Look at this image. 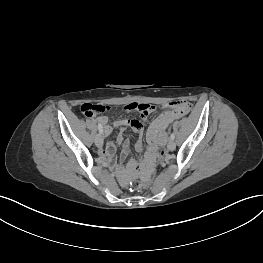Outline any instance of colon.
Returning <instances> with one entry per match:
<instances>
[{
	"instance_id": "colon-1",
	"label": "colon",
	"mask_w": 263,
	"mask_h": 263,
	"mask_svg": "<svg viewBox=\"0 0 263 263\" xmlns=\"http://www.w3.org/2000/svg\"><path fill=\"white\" fill-rule=\"evenodd\" d=\"M170 104H173L176 107V109L181 108L184 111V114L190 110V104L187 101L180 100V101L172 102ZM118 109L124 114L127 113V115L129 116L133 115V113H138V114L140 113L141 115L152 114L156 110L155 106L151 102H145V101H140L138 104L136 102H127L125 105L124 104L120 105ZM107 110H108V107L102 104H84L81 107V112L86 117H92L95 115H99V114L104 113ZM171 128L172 127L169 125L167 129L168 133L166 134V137L163 141L165 144L168 142V140L171 137V134H170L172 132ZM164 155H165V151L164 149H162V153L160 154L161 160ZM160 163L161 162L157 164L154 174L150 177V179L147 182L145 183L144 182L139 183L136 181L129 182L125 186L126 190L129 192H133L137 190L138 187L143 188V189L148 187L154 181V178L156 176Z\"/></svg>"
}]
</instances>
